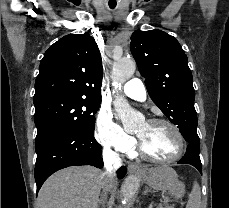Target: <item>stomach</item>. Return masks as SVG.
Instances as JSON below:
<instances>
[{
	"label": "stomach",
	"instance_id": "0dacf381",
	"mask_svg": "<svg viewBox=\"0 0 229 208\" xmlns=\"http://www.w3.org/2000/svg\"><path fill=\"white\" fill-rule=\"evenodd\" d=\"M138 178L154 190H167L175 200H180L185 194V186L178 182L175 170L169 166H157V168H143L137 174Z\"/></svg>",
	"mask_w": 229,
	"mask_h": 208
}]
</instances>
